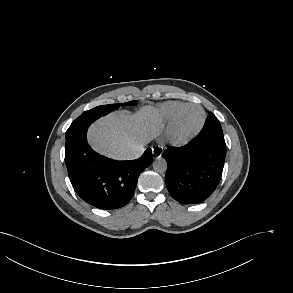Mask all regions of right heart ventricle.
<instances>
[{
	"label": "right heart ventricle",
	"instance_id": "obj_1",
	"mask_svg": "<svg viewBox=\"0 0 293 293\" xmlns=\"http://www.w3.org/2000/svg\"><path fill=\"white\" fill-rule=\"evenodd\" d=\"M183 104L182 102L169 101L162 103L158 107V116L164 121H170L176 109Z\"/></svg>",
	"mask_w": 293,
	"mask_h": 293
}]
</instances>
